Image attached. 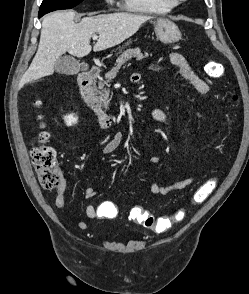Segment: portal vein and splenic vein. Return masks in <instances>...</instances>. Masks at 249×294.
I'll list each match as a JSON object with an SVG mask.
<instances>
[{
	"instance_id": "obj_1",
	"label": "portal vein and splenic vein",
	"mask_w": 249,
	"mask_h": 294,
	"mask_svg": "<svg viewBox=\"0 0 249 294\" xmlns=\"http://www.w3.org/2000/svg\"><path fill=\"white\" fill-rule=\"evenodd\" d=\"M98 36L97 35H93V40H97Z\"/></svg>"
}]
</instances>
